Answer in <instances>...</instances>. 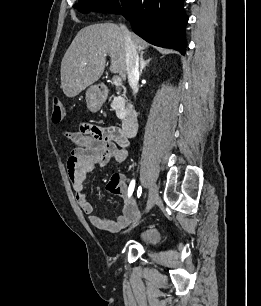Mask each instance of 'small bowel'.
<instances>
[{
	"label": "small bowel",
	"instance_id": "small-bowel-1",
	"mask_svg": "<svg viewBox=\"0 0 261 306\" xmlns=\"http://www.w3.org/2000/svg\"><path fill=\"white\" fill-rule=\"evenodd\" d=\"M66 136L74 145L67 160V171L78 205L97 229L111 234L120 232L139 216V203L132 194L129 195V186L133 180L121 174H117V181L113 180L115 174L109 180L107 189L124 200L123 212L115 220L94 214V206L87 198L84 183L88 173L97 165L125 161L128 139L116 127L93 124L83 125L79 131L67 132Z\"/></svg>",
	"mask_w": 261,
	"mask_h": 306
}]
</instances>
